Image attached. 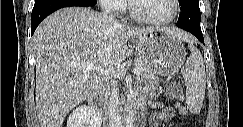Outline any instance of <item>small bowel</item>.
<instances>
[{"mask_svg":"<svg viewBox=\"0 0 243 127\" xmlns=\"http://www.w3.org/2000/svg\"><path fill=\"white\" fill-rule=\"evenodd\" d=\"M179 114L182 116H186L188 114L187 108L180 104V103H176L175 105L171 106V107H161V113H160V118L161 119H168L173 117L175 114ZM156 120L154 119L152 121V125L155 126Z\"/></svg>","mask_w":243,"mask_h":127,"instance_id":"1","label":"small bowel"}]
</instances>
